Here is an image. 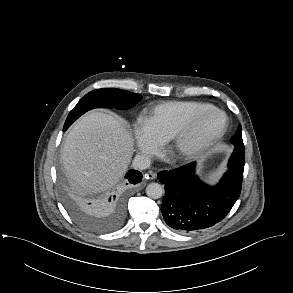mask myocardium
Masks as SVG:
<instances>
[{"label": "myocardium", "instance_id": "1", "mask_svg": "<svg viewBox=\"0 0 293 293\" xmlns=\"http://www.w3.org/2000/svg\"><path fill=\"white\" fill-rule=\"evenodd\" d=\"M210 112L218 113L221 118V124L211 134L194 139V132L205 115ZM228 117L226 113L215 107L210 106L193 114L182 127L169 139V152L175 160L193 159L213 146L226 132L228 128Z\"/></svg>", "mask_w": 293, "mask_h": 293}]
</instances>
